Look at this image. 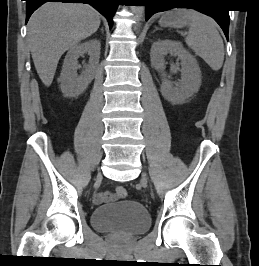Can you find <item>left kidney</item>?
<instances>
[{
	"label": "left kidney",
	"mask_w": 259,
	"mask_h": 266,
	"mask_svg": "<svg viewBox=\"0 0 259 266\" xmlns=\"http://www.w3.org/2000/svg\"><path fill=\"white\" fill-rule=\"evenodd\" d=\"M168 54L177 56L181 60V81L174 86L171 81L163 77L160 92L167 101L182 104L200 88V67L195 57L180 42L169 39L158 40L152 45L150 53L152 66L162 72L165 68V56Z\"/></svg>",
	"instance_id": "left-kidney-1"
}]
</instances>
